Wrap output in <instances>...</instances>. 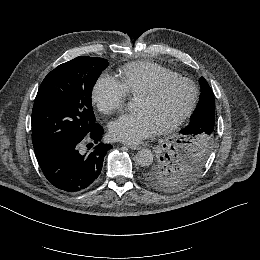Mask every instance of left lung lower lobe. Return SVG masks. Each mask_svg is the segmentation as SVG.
<instances>
[{
	"label": "left lung lower lobe",
	"instance_id": "obj_1",
	"mask_svg": "<svg viewBox=\"0 0 260 260\" xmlns=\"http://www.w3.org/2000/svg\"><path fill=\"white\" fill-rule=\"evenodd\" d=\"M190 119V132L210 133L214 131V103H206L200 100Z\"/></svg>",
	"mask_w": 260,
	"mask_h": 260
}]
</instances>
